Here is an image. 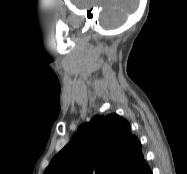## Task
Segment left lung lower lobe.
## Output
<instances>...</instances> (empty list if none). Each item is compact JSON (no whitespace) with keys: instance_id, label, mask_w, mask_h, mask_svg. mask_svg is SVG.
Returning <instances> with one entry per match:
<instances>
[{"instance_id":"1","label":"left lung lower lobe","mask_w":187,"mask_h":174,"mask_svg":"<svg viewBox=\"0 0 187 174\" xmlns=\"http://www.w3.org/2000/svg\"><path fill=\"white\" fill-rule=\"evenodd\" d=\"M131 174H152L148 164L140 165V163L133 169Z\"/></svg>"}]
</instances>
